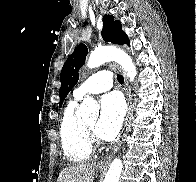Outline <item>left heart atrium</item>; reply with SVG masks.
I'll list each match as a JSON object with an SVG mask.
<instances>
[{
	"instance_id": "obj_1",
	"label": "left heart atrium",
	"mask_w": 196,
	"mask_h": 182,
	"mask_svg": "<svg viewBox=\"0 0 196 182\" xmlns=\"http://www.w3.org/2000/svg\"><path fill=\"white\" fill-rule=\"evenodd\" d=\"M125 116V104L117 93H110L101 99V115L95 132L103 140L114 139L119 133Z\"/></svg>"
}]
</instances>
